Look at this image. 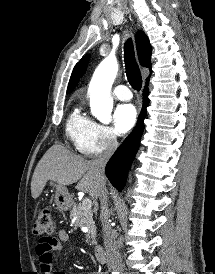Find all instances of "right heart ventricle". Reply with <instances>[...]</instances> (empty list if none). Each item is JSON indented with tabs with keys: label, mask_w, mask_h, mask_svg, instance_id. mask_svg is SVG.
<instances>
[{
	"label": "right heart ventricle",
	"mask_w": 215,
	"mask_h": 274,
	"mask_svg": "<svg viewBox=\"0 0 215 274\" xmlns=\"http://www.w3.org/2000/svg\"><path fill=\"white\" fill-rule=\"evenodd\" d=\"M93 123L94 122L82 112L80 106L74 107L71 111L66 122V134L77 149H79L87 138Z\"/></svg>",
	"instance_id": "right-heart-ventricle-1"
}]
</instances>
